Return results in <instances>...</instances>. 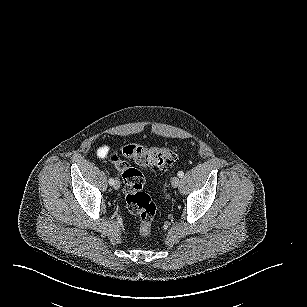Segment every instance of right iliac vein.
<instances>
[{
    "mask_svg": "<svg viewBox=\"0 0 307 307\" xmlns=\"http://www.w3.org/2000/svg\"><path fill=\"white\" fill-rule=\"evenodd\" d=\"M113 187L115 190H118L120 188V181L117 178L115 179Z\"/></svg>",
    "mask_w": 307,
    "mask_h": 307,
    "instance_id": "obj_1",
    "label": "right iliac vein"
}]
</instances>
